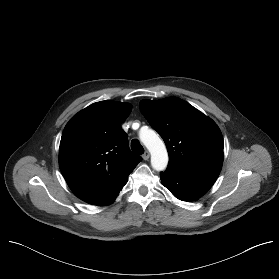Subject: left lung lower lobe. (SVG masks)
Returning a JSON list of instances; mask_svg holds the SVG:
<instances>
[{"label": "left lung lower lobe", "mask_w": 279, "mask_h": 279, "mask_svg": "<svg viewBox=\"0 0 279 279\" xmlns=\"http://www.w3.org/2000/svg\"><path fill=\"white\" fill-rule=\"evenodd\" d=\"M161 181L176 198L182 201L196 200L205 194L216 181L215 177L196 176L167 168L160 173Z\"/></svg>", "instance_id": "1"}]
</instances>
